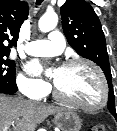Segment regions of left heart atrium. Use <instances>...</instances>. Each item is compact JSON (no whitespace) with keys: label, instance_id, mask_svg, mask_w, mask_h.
Here are the masks:
<instances>
[{"label":"left heart atrium","instance_id":"obj_1","mask_svg":"<svg viewBox=\"0 0 117 131\" xmlns=\"http://www.w3.org/2000/svg\"><path fill=\"white\" fill-rule=\"evenodd\" d=\"M29 69L33 72V73H39L41 70L40 65L37 62H32L29 65Z\"/></svg>","mask_w":117,"mask_h":131}]
</instances>
